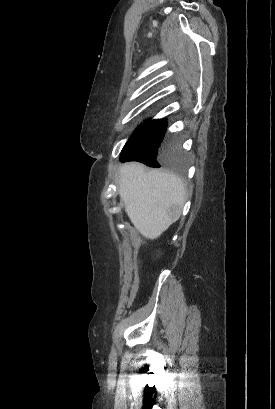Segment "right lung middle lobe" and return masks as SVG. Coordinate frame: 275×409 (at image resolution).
<instances>
[{"label":"right lung middle lobe","mask_w":275,"mask_h":409,"mask_svg":"<svg viewBox=\"0 0 275 409\" xmlns=\"http://www.w3.org/2000/svg\"><path fill=\"white\" fill-rule=\"evenodd\" d=\"M166 127L165 119L144 122L125 144L120 160L144 163V172H168L176 179L184 177L186 174L182 170L188 169L185 166L187 157L181 152L178 139L164 140ZM184 181L188 182L189 178L185 177Z\"/></svg>","instance_id":"dd1d6c3e"}]
</instances>
